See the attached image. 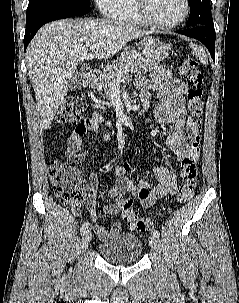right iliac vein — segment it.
Masks as SVG:
<instances>
[{
    "mask_svg": "<svg viewBox=\"0 0 239 303\" xmlns=\"http://www.w3.org/2000/svg\"><path fill=\"white\" fill-rule=\"evenodd\" d=\"M91 238H92V234H91V231L90 230H86L84 233H83V236H82V241H81V249L84 251L90 241H91Z\"/></svg>",
    "mask_w": 239,
    "mask_h": 303,
    "instance_id": "1",
    "label": "right iliac vein"
}]
</instances>
